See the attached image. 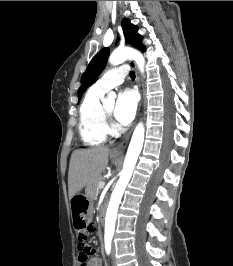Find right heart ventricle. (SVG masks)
I'll list each match as a JSON object with an SVG mask.
<instances>
[{
  "mask_svg": "<svg viewBox=\"0 0 233 266\" xmlns=\"http://www.w3.org/2000/svg\"><path fill=\"white\" fill-rule=\"evenodd\" d=\"M105 91L91 86L79 108V134L85 145L96 146L107 139V125L102 111L101 98Z\"/></svg>",
  "mask_w": 233,
  "mask_h": 266,
  "instance_id": "1",
  "label": "right heart ventricle"
}]
</instances>
